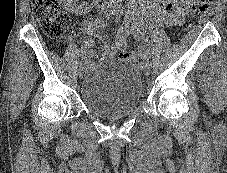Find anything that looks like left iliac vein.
Instances as JSON below:
<instances>
[{
  "instance_id": "4c4485c4",
  "label": "left iliac vein",
  "mask_w": 227,
  "mask_h": 173,
  "mask_svg": "<svg viewBox=\"0 0 227 173\" xmlns=\"http://www.w3.org/2000/svg\"><path fill=\"white\" fill-rule=\"evenodd\" d=\"M142 71H143V73H144L146 76L150 75L151 66H150L149 64H147V62L144 63L143 66H142Z\"/></svg>"
}]
</instances>
